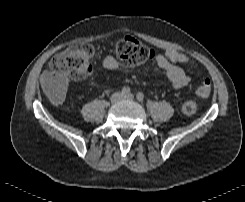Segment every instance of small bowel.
<instances>
[{"mask_svg": "<svg viewBox=\"0 0 245 202\" xmlns=\"http://www.w3.org/2000/svg\"><path fill=\"white\" fill-rule=\"evenodd\" d=\"M179 57L180 53L170 48L165 54H155L153 58L155 66L164 72L174 89H181L189 83V77L185 71L177 65ZM102 65L105 69L112 71L120 68L117 58L112 54H108L103 58ZM42 82L46 88L50 87L57 92H61L64 87L63 80L49 71L43 72Z\"/></svg>", "mask_w": 245, "mask_h": 202, "instance_id": "c3829d8e", "label": "small bowel"}]
</instances>
